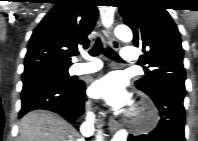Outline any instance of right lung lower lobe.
<instances>
[{"label": "right lung lower lobe", "instance_id": "right-lung-lower-lobe-1", "mask_svg": "<svg viewBox=\"0 0 198 141\" xmlns=\"http://www.w3.org/2000/svg\"><path fill=\"white\" fill-rule=\"evenodd\" d=\"M21 99L20 118L29 111L44 109L58 113L72 123L84 111L85 84L83 81L70 85L49 80L26 82Z\"/></svg>", "mask_w": 198, "mask_h": 141}]
</instances>
